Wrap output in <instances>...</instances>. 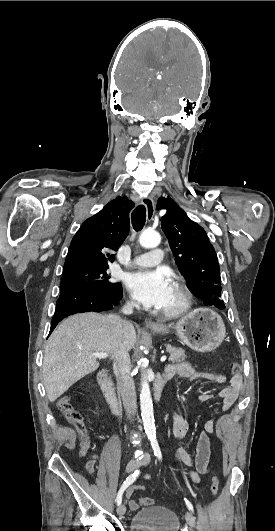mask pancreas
<instances>
[{"instance_id": "obj_1", "label": "pancreas", "mask_w": 275, "mask_h": 531, "mask_svg": "<svg viewBox=\"0 0 275 531\" xmlns=\"http://www.w3.org/2000/svg\"><path fill=\"white\" fill-rule=\"evenodd\" d=\"M165 347L167 353H170L169 363H182V361H185L187 355L183 349H177V347H172V345H165Z\"/></svg>"}]
</instances>
